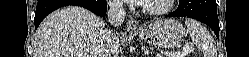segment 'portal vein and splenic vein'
I'll return each mask as SVG.
<instances>
[{
	"mask_svg": "<svg viewBox=\"0 0 249 57\" xmlns=\"http://www.w3.org/2000/svg\"><path fill=\"white\" fill-rule=\"evenodd\" d=\"M190 51H191L190 48L184 47L182 52L170 53V54L168 55V57H184V56H186ZM158 57H160V55H158Z\"/></svg>",
	"mask_w": 249,
	"mask_h": 57,
	"instance_id": "18ae733b",
	"label": "portal vein and splenic vein"
}]
</instances>
